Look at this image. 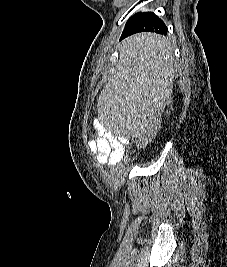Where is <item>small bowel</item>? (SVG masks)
Returning a JSON list of instances; mask_svg holds the SVG:
<instances>
[{
    "instance_id": "small-bowel-1",
    "label": "small bowel",
    "mask_w": 227,
    "mask_h": 267,
    "mask_svg": "<svg viewBox=\"0 0 227 267\" xmlns=\"http://www.w3.org/2000/svg\"><path fill=\"white\" fill-rule=\"evenodd\" d=\"M129 143L128 137H118V135L99 129L98 137L89 142V149L97 153V159L100 163L113 165L122 159L125 147Z\"/></svg>"
}]
</instances>
